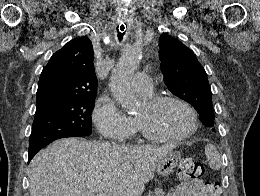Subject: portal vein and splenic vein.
I'll return each instance as SVG.
<instances>
[{
  "mask_svg": "<svg viewBox=\"0 0 260 196\" xmlns=\"http://www.w3.org/2000/svg\"><path fill=\"white\" fill-rule=\"evenodd\" d=\"M95 196H111V194L108 192V194H95Z\"/></svg>",
  "mask_w": 260,
  "mask_h": 196,
  "instance_id": "1",
  "label": "portal vein and splenic vein"
}]
</instances>
